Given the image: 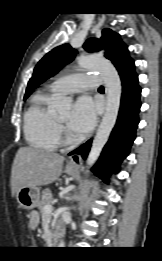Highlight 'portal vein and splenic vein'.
<instances>
[{"label":"portal vein and splenic vein","mask_w":162,"mask_h":261,"mask_svg":"<svg viewBox=\"0 0 162 261\" xmlns=\"http://www.w3.org/2000/svg\"><path fill=\"white\" fill-rule=\"evenodd\" d=\"M74 188V186H68L65 189L61 190L60 192V196L62 197L63 194L69 192L70 190H72ZM53 211V206L50 204H47L44 206V213L49 214Z\"/></svg>","instance_id":"portal-vein-and-splenic-vein-1"}]
</instances>
